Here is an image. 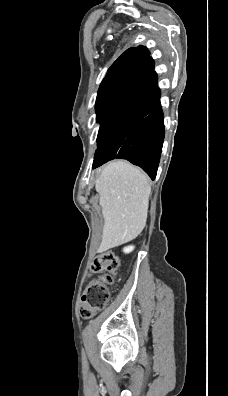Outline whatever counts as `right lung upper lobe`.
Listing matches in <instances>:
<instances>
[{
	"label": "right lung upper lobe",
	"mask_w": 228,
	"mask_h": 396,
	"mask_svg": "<svg viewBox=\"0 0 228 396\" xmlns=\"http://www.w3.org/2000/svg\"><path fill=\"white\" fill-rule=\"evenodd\" d=\"M149 58L147 48L143 46L126 50L108 69L102 83L137 71H146L145 62Z\"/></svg>",
	"instance_id": "1"
}]
</instances>
